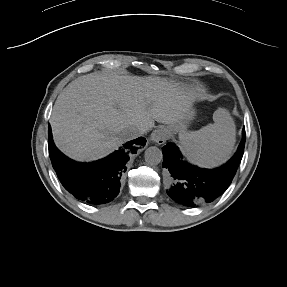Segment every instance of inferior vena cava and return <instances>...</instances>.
Masks as SVG:
<instances>
[{"mask_svg":"<svg viewBox=\"0 0 287 287\" xmlns=\"http://www.w3.org/2000/svg\"><path fill=\"white\" fill-rule=\"evenodd\" d=\"M146 130L140 126H128L123 130V134L126 137L127 141L136 139L142 136Z\"/></svg>","mask_w":287,"mask_h":287,"instance_id":"1","label":"inferior vena cava"}]
</instances>
